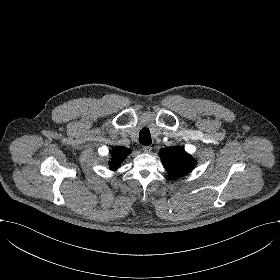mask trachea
I'll return each instance as SVG.
<instances>
[{
  "instance_id": "1",
  "label": "trachea",
  "mask_w": 280,
  "mask_h": 280,
  "mask_svg": "<svg viewBox=\"0 0 280 280\" xmlns=\"http://www.w3.org/2000/svg\"><path fill=\"white\" fill-rule=\"evenodd\" d=\"M139 142L143 145L152 143L150 131L148 128H143L139 133Z\"/></svg>"
}]
</instances>
